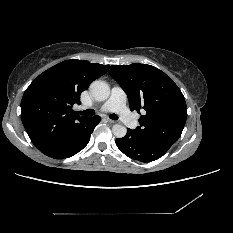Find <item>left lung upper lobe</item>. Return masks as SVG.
Segmentation results:
<instances>
[{"label": "left lung upper lobe", "instance_id": "5c2ea615", "mask_svg": "<svg viewBox=\"0 0 233 233\" xmlns=\"http://www.w3.org/2000/svg\"><path fill=\"white\" fill-rule=\"evenodd\" d=\"M110 74L127 94L131 111H146L140 126L132 130L136 136L170 148L181 136L187 118L179 87L163 71L146 64L113 65Z\"/></svg>", "mask_w": 233, "mask_h": 233}]
</instances>
